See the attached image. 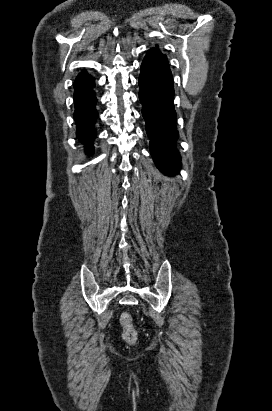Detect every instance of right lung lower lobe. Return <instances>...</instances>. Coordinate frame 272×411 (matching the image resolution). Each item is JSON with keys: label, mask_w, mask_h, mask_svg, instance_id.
Here are the masks:
<instances>
[{"label": "right lung lower lobe", "mask_w": 272, "mask_h": 411, "mask_svg": "<svg viewBox=\"0 0 272 411\" xmlns=\"http://www.w3.org/2000/svg\"><path fill=\"white\" fill-rule=\"evenodd\" d=\"M94 86V78H91L82 85L74 87L76 135L79 141L84 144L87 154L93 153V141L96 138L95 121L98 118V112Z\"/></svg>", "instance_id": "right-lung-lower-lobe-1"}]
</instances>
